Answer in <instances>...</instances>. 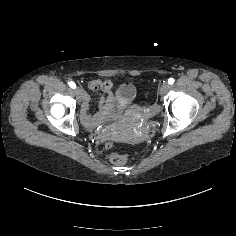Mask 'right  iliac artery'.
I'll use <instances>...</instances> for the list:
<instances>
[{"instance_id": "82829eb1", "label": "right iliac artery", "mask_w": 236, "mask_h": 236, "mask_svg": "<svg viewBox=\"0 0 236 236\" xmlns=\"http://www.w3.org/2000/svg\"><path fill=\"white\" fill-rule=\"evenodd\" d=\"M68 84L71 88H73V89L76 88V84L73 81L69 82Z\"/></svg>"}]
</instances>
